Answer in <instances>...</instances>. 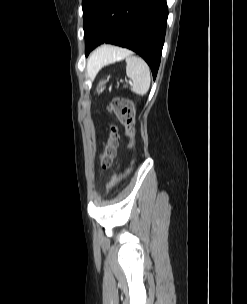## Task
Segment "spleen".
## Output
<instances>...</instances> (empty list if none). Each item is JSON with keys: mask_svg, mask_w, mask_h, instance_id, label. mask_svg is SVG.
<instances>
[{"mask_svg": "<svg viewBox=\"0 0 247 304\" xmlns=\"http://www.w3.org/2000/svg\"><path fill=\"white\" fill-rule=\"evenodd\" d=\"M126 58V74L132 80V91L138 95L147 93L150 87V69L140 57L131 56L128 52L113 54L104 65Z\"/></svg>", "mask_w": 247, "mask_h": 304, "instance_id": "spleen-1", "label": "spleen"}]
</instances>
